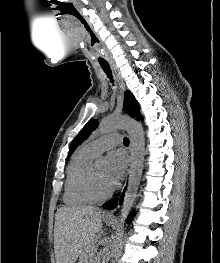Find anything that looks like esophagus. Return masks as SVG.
<instances>
[{
  "label": "esophagus",
  "instance_id": "34e87169",
  "mask_svg": "<svg viewBox=\"0 0 220 263\" xmlns=\"http://www.w3.org/2000/svg\"><path fill=\"white\" fill-rule=\"evenodd\" d=\"M117 80H118L121 92L124 93V91H125V84H124V81L122 80L121 76L118 73H117ZM114 212H115V209L107 210V211H105L104 215L106 217H113L114 216Z\"/></svg>",
  "mask_w": 220,
  "mask_h": 263
}]
</instances>
